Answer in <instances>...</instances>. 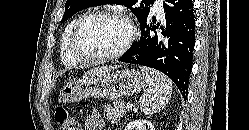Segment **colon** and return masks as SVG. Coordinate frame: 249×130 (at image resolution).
Returning <instances> with one entry per match:
<instances>
[{
    "label": "colon",
    "instance_id": "1",
    "mask_svg": "<svg viewBox=\"0 0 249 130\" xmlns=\"http://www.w3.org/2000/svg\"><path fill=\"white\" fill-rule=\"evenodd\" d=\"M54 115L60 130H79L77 121L65 108L61 106L56 107Z\"/></svg>",
    "mask_w": 249,
    "mask_h": 130
}]
</instances>
